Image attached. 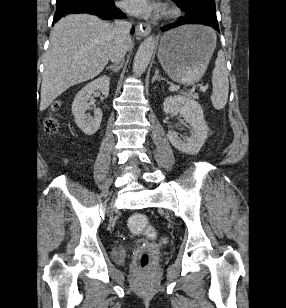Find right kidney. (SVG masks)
I'll use <instances>...</instances> for the list:
<instances>
[{"instance_id":"obj_1","label":"right kidney","mask_w":286,"mask_h":308,"mask_svg":"<svg viewBox=\"0 0 286 308\" xmlns=\"http://www.w3.org/2000/svg\"><path fill=\"white\" fill-rule=\"evenodd\" d=\"M110 79L102 76L84 86L74 98L72 103V113L75 117V123L84 134L91 136L95 134L102 121V110H94V117L86 113L90 108V100L95 91H100L105 97L109 94Z\"/></svg>"}]
</instances>
